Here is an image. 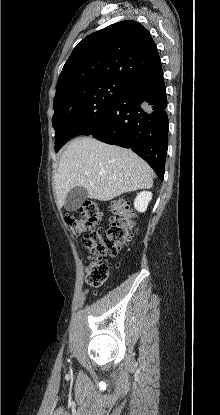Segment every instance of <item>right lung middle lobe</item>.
Segmentation results:
<instances>
[{
  "label": "right lung middle lobe",
  "instance_id": "dd1d6c3e",
  "mask_svg": "<svg viewBox=\"0 0 220 415\" xmlns=\"http://www.w3.org/2000/svg\"><path fill=\"white\" fill-rule=\"evenodd\" d=\"M129 83L120 80L90 81L72 85L55 95L53 127L55 151L72 137L91 135L106 120Z\"/></svg>",
  "mask_w": 220,
  "mask_h": 415
}]
</instances>
